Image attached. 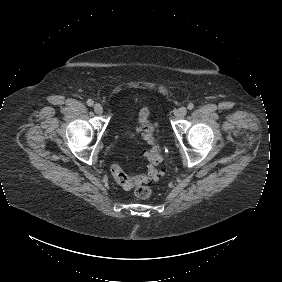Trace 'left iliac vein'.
Segmentation results:
<instances>
[{"label": "left iliac vein", "instance_id": "4c4485c4", "mask_svg": "<svg viewBox=\"0 0 282 282\" xmlns=\"http://www.w3.org/2000/svg\"><path fill=\"white\" fill-rule=\"evenodd\" d=\"M186 114H187V108H186V107H180V108L176 111V117H177L178 119L184 118Z\"/></svg>", "mask_w": 282, "mask_h": 282}]
</instances>
